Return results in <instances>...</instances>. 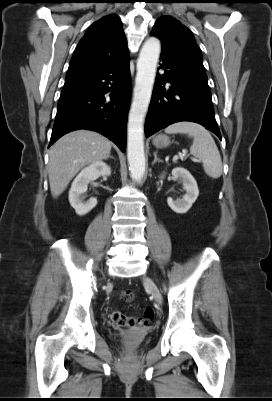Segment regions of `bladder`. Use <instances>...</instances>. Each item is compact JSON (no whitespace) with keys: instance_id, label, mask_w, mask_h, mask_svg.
<instances>
[{"instance_id":"31cf9c89","label":"bladder","mask_w":272,"mask_h":401,"mask_svg":"<svg viewBox=\"0 0 272 401\" xmlns=\"http://www.w3.org/2000/svg\"><path fill=\"white\" fill-rule=\"evenodd\" d=\"M148 331H149L148 328H141L140 330L136 331V333L144 334V333H147Z\"/></svg>"}]
</instances>
